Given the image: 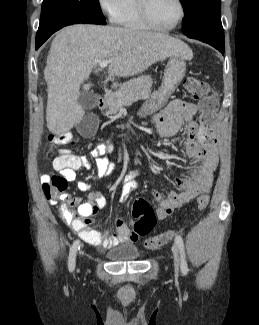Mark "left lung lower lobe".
<instances>
[{"instance_id":"obj_1","label":"left lung lower lobe","mask_w":259,"mask_h":325,"mask_svg":"<svg viewBox=\"0 0 259 325\" xmlns=\"http://www.w3.org/2000/svg\"><path fill=\"white\" fill-rule=\"evenodd\" d=\"M188 37L210 44L224 53V31L221 23L207 25Z\"/></svg>"}]
</instances>
